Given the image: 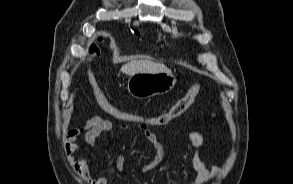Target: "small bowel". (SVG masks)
Segmentation results:
<instances>
[{
	"label": "small bowel",
	"instance_id": "c3829d8e",
	"mask_svg": "<svg viewBox=\"0 0 293 184\" xmlns=\"http://www.w3.org/2000/svg\"><path fill=\"white\" fill-rule=\"evenodd\" d=\"M113 123L102 117L94 116L88 119L83 125L73 127L66 132L65 143H66V154L68 161L72 168L75 170L80 180L88 182L89 184H108L109 178L107 176H101L96 179L91 178L90 166L85 157L81 154L79 141H84L90 146H94L101 139L108 138V132L113 129ZM123 130L129 128L128 125H122ZM148 142L152 145L155 150V155L152 160L147 162L143 167L142 171L147 173L155 170L161 163L165 154L163 145L159 141L155 132H153L147 124H139L137 126ZM205 139V133L199 130H192L186 135V140L192 147V166L196 174L189 184H203L217 176L220 172L218 166L208 168L201 160L199 150ZM77 155V156H75ZM125 165V155L120 154L116 159V168L118 171H122ZM181 175V169L177 167V177ZM140 184H148L142 182Z\"/></svg>",
	"mask_w": 293,
	"mask_h": 184
}]
</instances>
